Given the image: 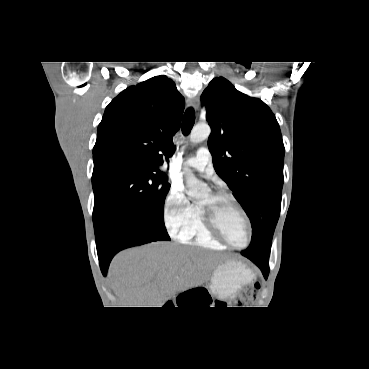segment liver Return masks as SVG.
I'll return each instance as SVG.
<instances>
[{
  "instance_id": "obj_1",
  "label": "liver",
  "mask_w": 369,
  "mask_h": 369,
  "mask_svg": "<svg viewBox=\"0 0 369 369\" xmlns=\"http://www.w3.org/2000/svg\"><path fill=\"white\" fill-rule=\"evenodd\" d=\"M221 260L201 249L155 242L119 253L109 277L123 307H163L176 292L203 283Z\"/></svg>"
}]
</instances>
